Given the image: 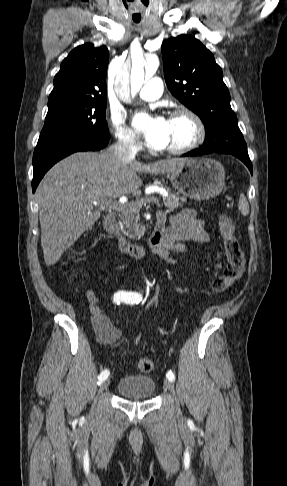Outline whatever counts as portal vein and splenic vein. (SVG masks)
I'll list each match as a JSON object with an SVG mask.
<instances>
[{
	"mask_svg": "<svg viewBox=\"0 0 287 486\" xmlns=\"http://www.w3.org/2000/svg\"><path fill=\"white\" fill-rule=\"evenodd\" d=\"M127 202V199L122 197L120 198V201H112L111 199H101L99 201V204L101 205H105L107 207H109L110 209H113V210H116V211H120L123 206L125 205V203ZM146 203H155V204H159V199L157 197H147L145 198L144 200H141L139 202V204L142 206L143 204H146ZM94 204H97L96 201H94Z\"/></svg>",
	"mask_w": 287,
	"mask_h": 486,
	"instance_id": "18ae733b",
	"label": "portal vein and splenic vein"
}]
</instances>
